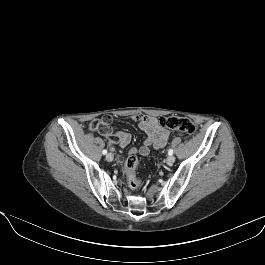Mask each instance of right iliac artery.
Returning a JSON list of instances; mask_svg holds the SVG:
<instances>
[{
  "label": "right iliac artery",
  "mask_w": 265,
  "mask_h": 265,
  "mask_svg": "<svg viewBox=\"0 0 265 265\" xmlns=\"http://www.w3.org/2000/svg\"><path fill=\"white\" fill-rule=\"evenodd\" d=\"M102 153H103L104 155L107 154V150L104 149V150L102 151Z\"/></svg>",
  "instance_id": "1"
}]
</instances>
